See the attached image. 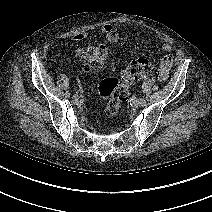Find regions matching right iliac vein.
<instances>
[{
    "instance_id": "63e3f726",
    "label": "right iliac vein",
    "mask_w": 212,
    "mask_h": 212,
    "mask_svg": "<svg viewBox=\"0 0 212 212\" xmlns=\"http://www.w3.org/2000/svg\"><path fill=\"white\" fill-rule=\"evenodd\" d=\"M72 99H73V101L77 102L78 99H79V96L78 95H73Z\"/></svg>"
}]
</instances>
